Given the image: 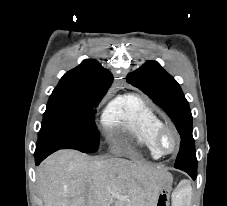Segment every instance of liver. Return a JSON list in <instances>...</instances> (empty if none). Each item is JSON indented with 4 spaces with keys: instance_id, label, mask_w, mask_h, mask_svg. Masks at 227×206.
Instances as JSON below:
<instances>
[{
    "instance_id": "obj_1",
    "label": "liver",
    "mask_w": 227,
    "mask_h": 206,
    "mask_svg": "<svg viewBox=\"0 0 227 206\" xmlns=\"http://www.w3.org/2000/svg\"><path fill=\"white\" fill-rule=\"evenodd\" d=\"M171 181L159 167L74 150L53 153L37 169L44 206H155Z\"/></svg>"
}]
</instances>
